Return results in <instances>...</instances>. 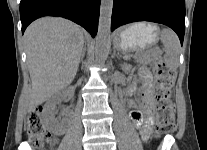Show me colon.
<instances>
[{
	"label": "colon",
	"mask_w": 207,
	"mask_h": 150,
	"mask_svg": "<svg viewBox=\"0 0 207 150\" xmlns=\"http://www.w3.org/2000/svg\"><path fill=\"white\" fill-rule=\"evenodd\" d=\"M156 74V125L158 135L173 132L175 129V117L173 104L170 99V87L175 76V70L161 56L154 59ZM26 132L30 142L35 146H44L51 142V134L44 126L41 110H33L26 121Z\"/></svg>",
	"instance_id": "1"
}]
</instances>
